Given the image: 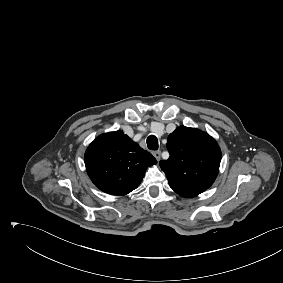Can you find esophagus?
<instances>
[{
  "label": "esophagus",
  "mask_w": 283,
  "mask_h": 283,
  "mask_svg": "<svg viewBox=\"0 0 283 283\" xmlns=\"http://www.w3.org/2000/svg\"><path fill=\"white\" fill-rule=\"evenodd\" d=\"M154 157L156 158L157 161H160L161 159V151H155L153 153Z\"/></svg>",
  "instance_id": "esophagus-1"
}]
</instances>
